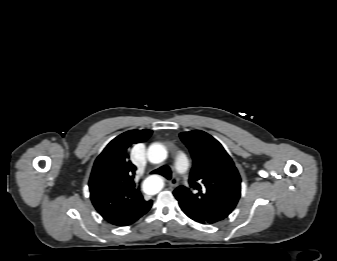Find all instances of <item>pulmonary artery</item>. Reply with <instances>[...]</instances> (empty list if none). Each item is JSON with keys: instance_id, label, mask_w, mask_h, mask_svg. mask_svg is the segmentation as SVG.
<instances>
[{"instance_id": "e3ab8cb5", "label": "pulmonary artery", "mask_w": 337, "mask_h": 261, "mask_svg": "<svg viewBox=\"0 0 337 261\" xmlns=\"http://www.w3.org/2000/svg\"><path fill=\"white\" fill-rule=\"evenodd\" d=\"M175 167L179 174L186 177L188 170V160L184 155H180L175 160Z\"/></svg>"}]
</instances>
